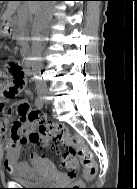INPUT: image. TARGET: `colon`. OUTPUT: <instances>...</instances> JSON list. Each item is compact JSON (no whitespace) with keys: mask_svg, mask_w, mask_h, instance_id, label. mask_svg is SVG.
<instances>
[{"mask_svg":"<svg viewBox=\"0 0 137 189\" xmlns=\"http://www.w3.org/2000/svg\"><path fill=\"white\" fill-rule=\"evenodd\" d=\"M24 70L16 63H9L6 70H0V97L13 98L24 81ZM20 111L31 124L25 128L21 121H14L10 131L16 140L30 141L53 149L61 157V168L69 178L76 176L78 160L84 167L86 178H93L97 165L91 151L79 136H70L62 124L47 122L44 114L37 109L23 106Z\"/></svg>","mask_w":137,"mask_h":189,"instance_id":"5ec220e1","label":"colon"}]
</instances>
